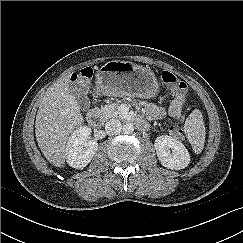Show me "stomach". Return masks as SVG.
<instances>
[{"mask_svg":"<svg viewBox=\"0 0 243 243\" xmlns=\"http://www.w3.org/2000/svg\"><path fill=\"white\" fill-rule=\"evenodd\" d=\"M96 85L103 94L119 97L150 98L159 91L149 68L120 60L108 61L98 70Z\"/></svg>","mask_w":243,"mask_h":243,"instance_id":"1","label":"stomach"}]
</instances>
